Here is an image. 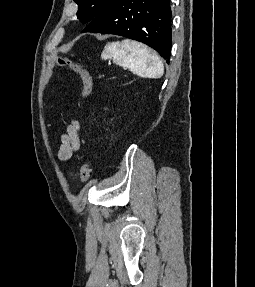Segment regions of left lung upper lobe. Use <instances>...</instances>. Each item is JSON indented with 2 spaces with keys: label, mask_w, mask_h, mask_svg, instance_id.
<instances>
[{
  "label": "left lung upper lobe",
  "mask_w": 255,
  "mask_h": 287,
  "mask_svg": "<svg viewBox=\"0 0 255 287\" xmlns=\"http://www.w3.org/2000/svg\"><path fill=\"white\" fill-rule=\"evenodd\" d=\"M78 5L77 17L82 23H88L94 19L111 0H74Z\"/></svg>",
  "instance_id": "5c2ea615"
}]
</instances>
